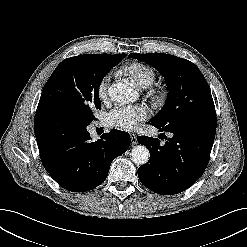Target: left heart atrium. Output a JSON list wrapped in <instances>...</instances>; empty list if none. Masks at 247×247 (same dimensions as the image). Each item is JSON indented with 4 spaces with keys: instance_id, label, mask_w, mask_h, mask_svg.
Segmentation results:
<instances>
[{
    "instance_id": "obj_1",
    "label": "left heart atrium",
    "mask_w": 247,
    "mask_h": 247,
    "mask_svg": "<svg viewBox=\"0 0 247 247\" xmlns=\"http://www.w3.org/2000/svg\"><path fill=\"white\" fill-rule=\"evenodd\" d=\"M146 106H119L106 115V123L110 126L132 130L149 116Z\"/></svg>"
}]
</instances>
